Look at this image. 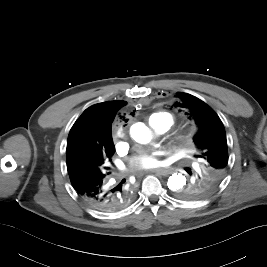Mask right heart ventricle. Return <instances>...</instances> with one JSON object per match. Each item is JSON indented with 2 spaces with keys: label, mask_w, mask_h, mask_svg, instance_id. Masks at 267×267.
I'll list each match as a JSON object with an SVG mask.
<instances>
[{
  "label": "right heart ventricle",
  "mask_w": 267,
  "mask_h": 267,
  "mask_svg": "<svg viewBox=\"0 0 267 267\" xmlns=\"http://www.w3.org/2000/svg\"><path fill=\"white\" fill-rule=\"evenodd\" d=\"M162 119L168 120L169 123H170V126L173 124L172 115L169 114V113H166V112H160V113H155V114L151 115L150 118H149V123L152 126L153 123L158 122V121H160Z\"/></svg>",
  "instance_id": "obj_1"
}]
</instances>
